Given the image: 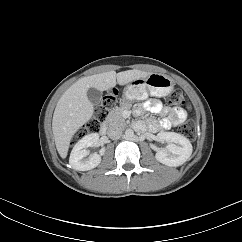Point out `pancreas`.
<instances>
[{
    "label": "pancreas",
    "instance_id": "pancreas-1",
    "mask_svg": "<svg viewBox=\"0 0 242 242\" xmlns=\"http://www.w3.org/2000/svg\"><path fill=\"white\" fill-rule=\"evenodd\" d=\"M130 105H123L121 107H115L112 109L107 117L106 120L110 125H115L120 127L121 129L126 128V121L123 117V111L130 109Z\"/></svg>",
    "mask_w": 242,
    "mask_h": 242
}]
</instances>
